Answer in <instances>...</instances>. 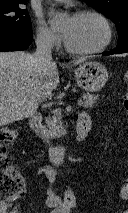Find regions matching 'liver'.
<instances>
[{
	"mask_svg": "<svg viewBox=\"0 0 128 213\" xmlns=\"http://www.w3.org/2000/svg\"><path fill=\"white\" fill-rule=\"evenodd\" d=\"M58 84L55 62L44 71L34 55L0 52V127L35 114L39 102L50 96Z\"/></svg>",
	"mask_w": 128,
	"mask_h": 213,
	"instance_id": "obj_1",
	"label": "liver"
}]
</instances>
